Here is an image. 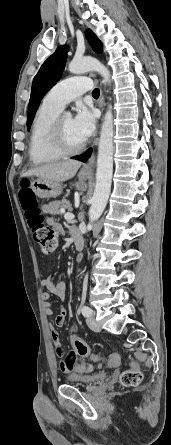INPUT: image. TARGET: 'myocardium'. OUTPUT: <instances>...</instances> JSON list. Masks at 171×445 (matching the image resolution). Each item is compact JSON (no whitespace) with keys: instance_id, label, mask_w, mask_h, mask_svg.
I'll return each mask as SVG.
<instances>
[{"instance_id":"f54148a6","label":"myocardium","mask_w":171,"mask_h":445,"mask_svg":"<svg viewBox=\"0 0 171 445\" xmlns=\"http://www.w3.org/2000/svg\"><path fill=\"white\" fill-rule=\"evenodd\" d=\"M63 118L64 116L62 115L57 116L53 120L50 126L49 130L50 145L56 152H58L61 155H73L82 151L85 148L87 141L84 140L81 144L77 146H69L66 143L63 135V129H62Z\"/></svg>"}]
</instances>
